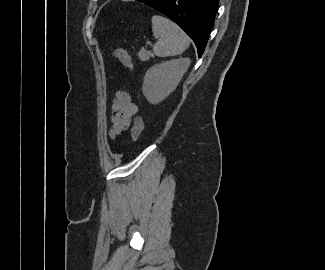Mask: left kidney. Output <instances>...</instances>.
<instances>
[{
	"instance_id": "obj_1",
	"label": "left kidney",
	"mask_w": 325,
	"mask_h": 270,
	"mask_svg": "<svg viewBox=\"0 0 325 270\" xmlns=\"http://www.w3.org/2000/svg\"><path fill=\"white\" fill-rule=\"evenodd\" d=\"M189 65V58H179L148 69L142 88L148 102L158 104L168 97L178 86Z\"/></svg>"
}]
</instances>
